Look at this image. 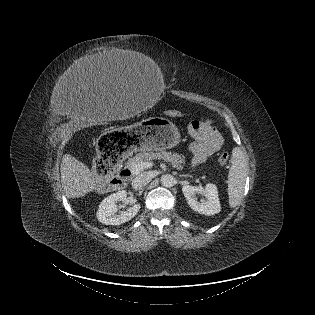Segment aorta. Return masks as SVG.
<instances>
[{
	"instance_id": "obj_1",
	"label": "aorta",
	"mask_w": 315,
	"mask_h": 315,
	"mask_svg": "<svg viewBox=\"0 0 315 315\" xmlns=\"http://www.w3.org/2000/svg\"><path fill=\"white\" fill-rule=\"evenodd\" d=\"M161 184L164 187H172L175 184V178L174 176L170 174H165L161 177Z\"/></svg>"
}]
</instances>
